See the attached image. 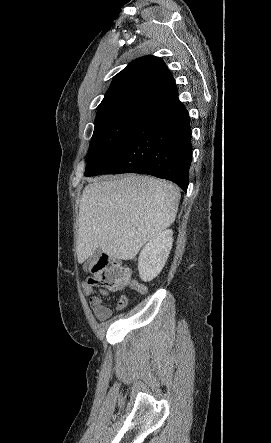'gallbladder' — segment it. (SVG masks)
Returning a JSON list of instances; mask_svg holds the SVG:
<instances>
[{
    "mask_svg": "<svg viewBox=\"0 0 271 443\" xmlns=\"http://www.w3.org/2000/svg\"><path fill=\"white\" fill-rule=\"evenodd\" d=\"M90 263H91V259H87V261H85V263L83 265V269H85V271H88V269L90 267Z\"/></svg>",
    "mask_w": 271,
    "mask_h": 443,
    "instance_id": "bac80fb5",
    "label": "gallbladder"
}]
</instances>
